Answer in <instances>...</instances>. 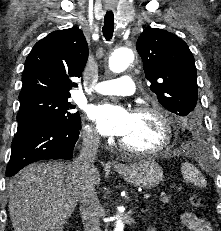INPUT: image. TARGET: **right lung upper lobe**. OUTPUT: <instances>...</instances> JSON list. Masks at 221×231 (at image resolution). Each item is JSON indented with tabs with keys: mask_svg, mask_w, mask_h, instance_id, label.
Returning a JSON list of instances; mask_svg holds the SVG:
<instances>
[{
	"mask_svg": "<svg viewBox=\"0 0 221 231\" xmlns=\"http://www.w3.org/2000/svg\"><path fill=\"white\" fill-rule=\"evenodd\" d=\"M88 59V45L78 27L54 31L37 42L25 61L19 99L37 95L68 96Z\"/></svg>",
	"mask_w": 221,
	"mask_h": 231,
	"instance_id": "1",
	"label": "right lung upper lobe"
}]
</instances>
